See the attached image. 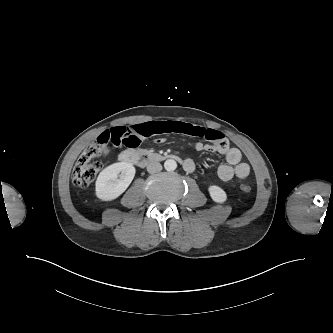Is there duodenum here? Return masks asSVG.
Returning <instances> with one entry per match:
<instances>
[{"label": "duodenum", "instance_id": "410a0bca", "mask_svg": "<svg viewBox=\"0 0 333 333\" xmlns=\"http://www.w3.org/2000/svg\"><path fill=\"white\" fill-rule=\"evenodd\" d=\"M168 159L181 162L183 168L187 170L186 162L182 161L181 158L175 154L147 153L135 150H125L120 154V160L122 162L135 164L141 167Z\"/></svg>", "mask_w": 333, "mask_h": 333}]
</instances>
